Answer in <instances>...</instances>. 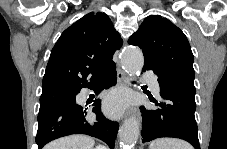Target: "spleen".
Segmentation results:
<instances>
[{
    "mask_svg": "<svg viewBox=\"0 0 227 149\" xmlns=\"http://www.w3.org/2000/svg\"><path fill=\"white\" fill-rule=\"evenodd\" d=\"M149 149H192V147L179 139L159 138L150 143Z\"/></svg>",
    "mask_w": 227,
    "mask_h": 149,
    "instance_id": "1",
    "label": "spleen"
}]
</instances>
